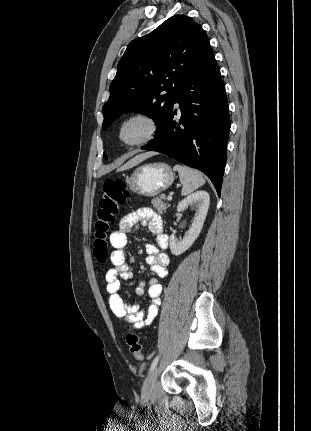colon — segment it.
Here are the masks:
<instances>
[{"label":"colon","mask_w":311,"mask_h":431,"mask_svg":"<svg viewBox=\"0 0 311 431\" xmlns=\"http://www.w3.org/2000/svg\"><path fill=\"white\" fill-rule=\"evenodd\" d=\"M128 197L129 192L123 179L111 178L103 183L93 233V252L96 259L100 262L108 257V236L119 214L120 207L127 201ZM126 343L134 359L142 361L144 356L137 333L133 330H128Z\"/></svg>","instance_id":"obj_1"}]
</instances>
